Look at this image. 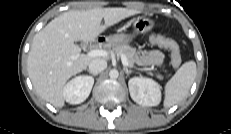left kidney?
Here are the masks:
<instances>
[{"mask_svg": "<svg viewBox=\"0 0 231 134\" xmlns=\"http://www.w3.org/2000/svg\"><path fill=\"white\" fill-rule=\"evenodd\" d=\"M131 98L142 106H157L161 102L159 84L151 78L133 77L128 82Z\"/></svg>", "mask_w": 231, "mask_h": 134, "instance_id": "1", "label": "left kidney"}]
</instances>
